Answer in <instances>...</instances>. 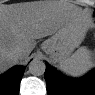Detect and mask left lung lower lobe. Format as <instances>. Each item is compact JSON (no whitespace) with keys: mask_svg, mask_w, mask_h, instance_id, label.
Masks as SVG:
<instances>
[{"mask_svg":"<svg viewBox=\"0 0 95 95\" xmlns=\"http://www.w3.org/2000/svg\"><path fill=\"white\" fill-rule=\"evenodd\" d=\"M47 88L58 95H93L95 93V71L82 79H67L53 68L47 66L45 71Z\"/></svg>","mask_w":95,"mask_h":95,"instance_id":"0a47b994","label":"left lung lower lobe"}]
</instances>
